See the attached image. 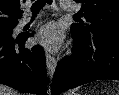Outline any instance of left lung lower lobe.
Segmentation results:
<instances>
[{"label": "left lung lower lobe", "mask_w": 119, "mask_h": 95, "mask_svg": "<svg viewBox=\"0 0 119 95\" xmlns=\"http://www.w3.org/2000/svg\"><path fill=\"white\" fill-rule=\"evenodd\" d=\"M74 47L55 71L52 94L101 79L119 80V33L78 35L71 27Z\"/></svg>", "instance_id": "1"}]
</instances>
